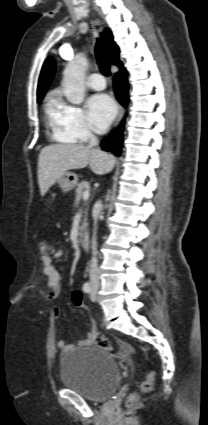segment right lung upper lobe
I'll list each match as a JSON object with an SVG mask.
<instances>
[{
    "label": "right lung upper lobe",
    "instance_id": "1",
    "mask_svg": "<svg viewBox=\"0 0 208 425\" xmlns=\"http://www.w3.org/2000/svg\"><path fill=\"white\" fill-rule=\"evenodd\" d=\"M101 36H102L104 45L106 47V53H107L109 62L121 68L122 63L119 59V48L113 40V35L111 30L105 29L101 33ZM54 72H55L54 60L52 58L46 59L39 77L38 89H37V100H42V98L44 97L49 87V84L51 83L53 79Z\"/></svg>",
    "mask_w": 208,
    "mask_h": 425
}]
</instances>
